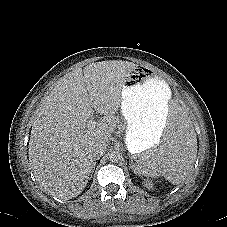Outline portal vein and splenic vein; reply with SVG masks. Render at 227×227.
Returning <instances> with one entry per match:
<instances>
[{"instance_id":"portal-vein-and-splenic-vein-1","label":"portal vein and splenic vein","mask_w":227,"mask_h":227,"mask_svg":"<svg viewBox=\"0 0 227 227\" xmlns=\"http://www.w3.org/2000/svg\"><path fill=\"white\" fill-rule=\"evenodd\" d=\"M96 125V121L94 119H90L87 123V126L92 128V127H95Z\"/></svg>"}]
</instances>
